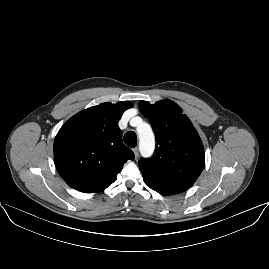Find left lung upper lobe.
<instances>
[{
	"mask_svg": "<svg viewBox=\"0 0 269 269\" xmlns=\"http://www.w3.org/2000/svg\"><path fill=\"white\" fill-rule=\"evenodd\" d=\"M139 109L149 119L156 139L154 155L138 163L143 177L192 186L204 168L205 154L188 117L170 100L140 101Z\"/></svg>",
	"mask_w": 269,
	"mask_h": 269,
	"instance_id": "left-lung-upper-lobe-1",
	"label": "left lung upper lobe"
}]
</instances>
